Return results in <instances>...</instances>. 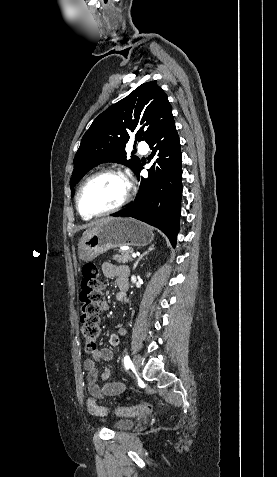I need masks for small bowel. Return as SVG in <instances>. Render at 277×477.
Wrapping results in <instances>:
<instances>
[{
	"label": "small bowel",
	"mask_w": 277,
	"mask_h": 477,
	"mask_svg": "<svg viewBox=\"0 0 277 477\" xmlns=\"http://www.w3.org/2000/svg\"><path fill=\"white\" fill-rule=\"evenodd\" d=\"M103 274L107 278H115L116 286L119 290L117 294L118 300L126 299L128 289L129 268L125 265H115L110 262H105L102 265ZM103 310L108 308L106 302L102 303ZM126 333L124 328H119L113 331L109 336V343L111 346H118L120 336ZM91 358H87L83 362V367L87 371V388L90 395L94 398H106L121 394L125 390V385L122 382L112 381L103 385L99 384V380L107 381L111 376V371L104 368L99 372L96 362H108L113 359V351L111 348L95 349L91 352Z\"/></svg>",
	"instance_id": "1"
}]
</instances>
